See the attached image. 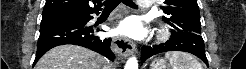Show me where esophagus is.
Masks as SVG:
<instances>
[{
    "label": "esophagus",
    "instance_id": "1",
    "mask_svg": "<svg viewBox=\"0 0 246 69\" xmlns=\"http://www.w3.org/2000/svg\"><path fill=\"white\" fill-rule=\"evenodd\" d=\"M111 49L120 57H126L130 53L137 51L136 46L124 37H113Z\"/></svg>",
    "mask_w": 246,
    "mask_h": 69
}]
</instances>
